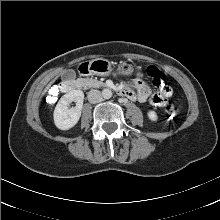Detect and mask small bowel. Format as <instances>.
Here are the masks:
<instances>
[{"instance_id":"c3829d8e","label":"small bowel","mask_w":220,"mask_h":220,"mask_svg":"<svg viewBox=\"0 0 220 220\" xmlns=\"http://www.w3.org/2000/svg\"><path fill=\"white\" fill-rule=\"evenodd\" d=\"M111 74L114 77L130 75L132 78H136L130 87L124 88L128 92L127 98L130 100H137L142 103L149 101L153 105H157L154 100L155 97L168 99L173 93L172 88L167 83L164 89L159 90L158 93L152 94L147 84L139 77L142 74V69L138 64H120L114 66L111 69Z\"/></svg>"}]
</instances>
